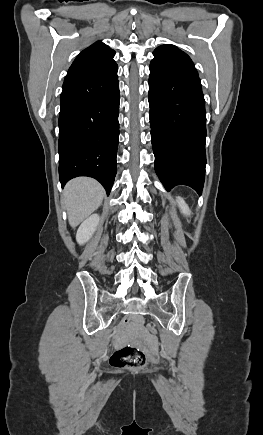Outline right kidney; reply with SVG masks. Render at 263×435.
I'll return each mask as SVG.
<instances>
[{
  "instance_id": "ca27d5eb",
  "label": "right kidney",
  "mask_w": 263,
  "mask_h": 435,
  "mask_svg": "<svg viewBox=\"0 0 263 435\" xmlns=\"http://www.w3.org/2000/svg\"><path fill=\"white\" fill-rule=\"evenodd\" d=\"M99 221V215L93 214L82 222L76 234V240L80 245L85 244L90 240L99 224Z\"/></svg>"
}]
</instances>
